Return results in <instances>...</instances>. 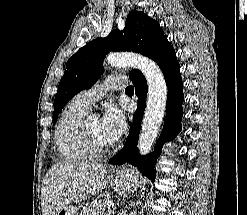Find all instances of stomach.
I'll return each instance as SVG.
<instances>
[{"label":"stomach","mask_w":247,"mask_h":215,"mask_svg":"<svg viewBox=\"0 0 247 215\" xmlns=\"http://www.w3.org/2000/svg\"><path fill=\"white\" fill-rule=\"evenodd\" d=\"M114 189L121 195H127L138 185V178L133 170L125 169L115 175L109 176ZM56 215H78L72 204L64 205Z\"/></svg>","instance_id":"obj_1"}]
</instances>
